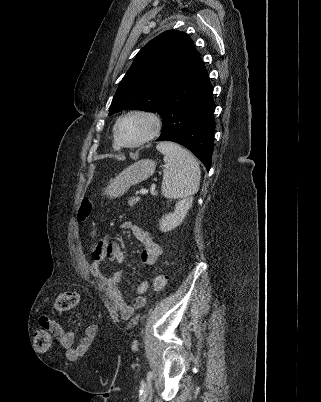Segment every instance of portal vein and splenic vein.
Instances as JSON below:
<instances>
[{
	"mask_svg": "<svg viewBox=\"0 0 321 402\" xmlns=\"http://www.w3.org/2000/svg\"><path fill=\"white\" fill-rule=\"evenodd\" d=\"M139 193H140L141 195H145L146 193H148V190L142 188V189H140Z\"/></svg>",
	"mask_w": 321,
	"mask_h": 402,
	"instance_id": "1",
	"label": "portal vein and splenic vein"
}]
</instances>
